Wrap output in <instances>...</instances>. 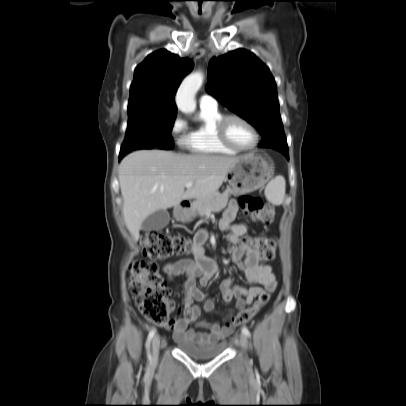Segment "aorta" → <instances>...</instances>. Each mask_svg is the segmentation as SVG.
<instances>
[{
  "label": "aorta",
  "mask_w": 406,
  "mask_h": 406,
  "mask_svg": "<svg viewBox=\"0 0 406 406\" xmlns=\"http://www.w3.org/2000/svg\"><path fill=\"white\" fill-rule=\"evenodd\" d=\"M203 80V73L197 71L189 74L182 81L175 98L180 111L185 114H191L196 110L195 95L202 86Z\"/></svg>",
  "instance_id": "1"
}]
</instances>
